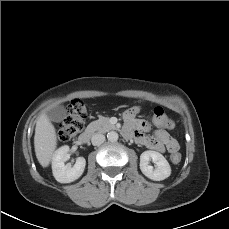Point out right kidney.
<instances>
[{
    "instance_id": "right-kidney-1",
    "label": "right kidney",
    "mask_w": 229,
    "mask_h": 229,
    "mask_svg": "<svg viewBox=\"0 0 229 229\" xmlns=\"http://www.w3.org/2000/svg\"><path fill=\"white\" fill-rule=\"evenodd\" d=\"M70 148L64 145L56 150L52 158V171L55 179L60 183H70L78 179L84 172L86 160L83 157H78L74 166L65 165L69 159Z\"/></svg>"
}]
</instances>
